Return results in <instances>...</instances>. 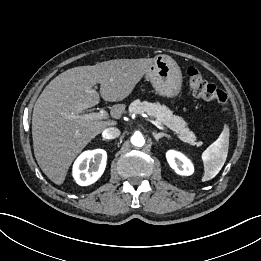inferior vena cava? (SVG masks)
Instances as JSON below:
<instances>
[{
    "mask_svg": "<svg viewBox=\"0 0 261 261\" xmlns=\"http://www.w3.org/2000/svg\"><path fill=\"white\" fill-rule=\"evenodd\" d=\"M102 135L105 139H115L119 137L120 130L116 127H108L103 131Z\"/></svg>",
    "mask_w": 261,
    "mask_h": 261,
    "instance_id": "obj_1",
    "label": "inferior vena cava"
}]
</instances>
